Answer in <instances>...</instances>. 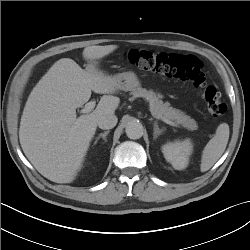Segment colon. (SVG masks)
<instances>
[{
	"label": "colon",
	"mask_w": 250,
	"mask_h": 250,
	"mask_svg": "<svg viewBox=\"0 0 250 250\" xmlns=\"http://www.w3.org/2000/svg\"><path fill=\"white\" fill-rule=\"evenodd\" d=\"M125 59L141 70L192 82L197 88L202 90V96L211 115L223 117L228 113V107L221 99L216 88L205 84L203 66L197 57L177 53L132 49L125 54Z\"/></svg>",
	"instance_id": "obj_1"
}]
</instances>
